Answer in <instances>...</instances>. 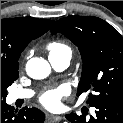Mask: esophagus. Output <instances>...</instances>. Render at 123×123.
Wrapping results in <instances>:
<instances>
[{
  "mask_svg": "<svg viewBox=\"0 0 123 123\" xmlns=\"http://www.w3.org/2000/svg\"><path fill=\"white\" fill-rule=\"evenodd\" d=\"M47 118L54 122H59V121L63 120V117L58 116V115H48Z\"/></svg>",
  "mask_w": 123,
  "mask_h": 123,
  "instance_id": "1",
  "label": "esophagus"
}]
</instances>
